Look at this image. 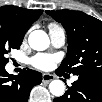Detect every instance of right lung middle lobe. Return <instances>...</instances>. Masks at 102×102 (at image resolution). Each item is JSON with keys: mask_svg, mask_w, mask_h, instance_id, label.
<instances>
[{"mask_svg": "<svg viewBox=\"0 0 102 102\" xmlns=\"http://www.w3.org/2000/svg\"><path fill=\"white\" fill-rule=\"evenodd\" d=\"M22 38L11 37L6 31H0V68H5L8 59L5 58L12 48L18 49L22 43Z\"/></svg>", "mask_w": 102, "mask_h": 102, "instance_id": "right-lung-middle-lobe-1", "label": "right lung middle lobe"}]
</instances>
